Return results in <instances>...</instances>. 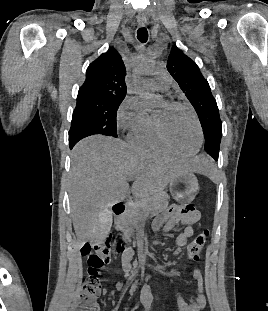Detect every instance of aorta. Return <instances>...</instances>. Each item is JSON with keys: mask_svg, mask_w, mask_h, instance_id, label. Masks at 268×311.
<instances>
[{"mask_svg": "<svg viewBox=\"0 0 268 311\" xmlns=\"http://www.w3.org/2000/svg\"><path fill=\"white\" fill-rule=\"evenodd\" d=\"M157 69L154 60H142L136 66L138 79L136 81V90L146 99L147 106L158 104L160 97L151 92L146 76L153 74Z\"/></svg>", "mask_w": 268, "mask_h": 311, "instance_id": "aorta-1", "label": "aorta"}]
</instances>
